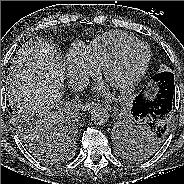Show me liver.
Segmentation results:
<instances>
[{
	"instance_id": "liver-1",
	"label": "liver",
	"mask_w": 184,
	"mask_h": 184,
	"mask_svg": "<svg viewBox=\"0 0 184 184\" xmlns=\"http://www.w3.org/2000/svg\"><path fill=\"white\" fill-rule=\"evenodd\" d=\"M63 67L54 47L30 40L14 57L8 74V96L18 107L41 115L59 105L64 89Z\"/></svg>"
}]
</instances>
